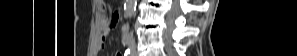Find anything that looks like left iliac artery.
I'll return each instance as SVG.
<instances>
[{
	"label": "left iliac artery",
	"mask_w": 297,
	"mask_h": 56,
	"mask_svg": "<svg viewBox=\"0 0 297 56\" xmlns=\"http://www.w3.org/2000/svg\"><path fill=\"white\" fill-rule=\"evenodd\" d=\"M125 56H131V52H130L129 49L126 50V52H125Z\"/></svg>",
	"instance_id": "left-iliac-artery-1"
}]
</instances>
